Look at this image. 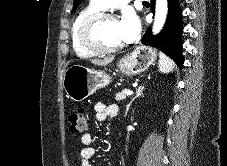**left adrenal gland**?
I'll return each mask as SVG.
<instances>
[{
	"label": "left adrenal gland",
	"mask_w": 227,
	"mask_h": 166,
	"mask_svg": "<svg viewBox=\"0 0 227 166\" xmlns=\"http://www.w3.org/2000/svg\"><path fill=\"white\" fill-rule=\"evenodd\" d=\"M144 87L143 86H139L137 89H136V92H135V95L134 97L131 99V101L129 102V104L126 106V112H125V116L127 115L128 113V110L131 106V104L133 103V101L141 96H143V91H144Z\"/></svg>",
	"instance_id": "obj_1"
}]
</instances>
